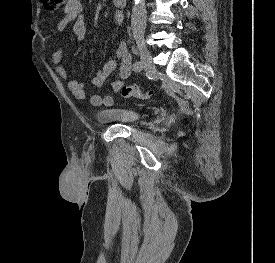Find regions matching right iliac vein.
<instances>
[{
	"label": "right iliac vein",
	"instance_id": "1",
	"mask_svg": "<svg viewBox=\"0 0 275 263\" xmlns=\"http://www.w3.org/2000/svg\"><path fill=\"white\" fill-rule=\"evenodd\" d=\"M137 48L139 50V55L143 66L146 70L150 69L152 66V56L149 50L147 49L144 41L142 39H138L137 41Z\"/></svg>",
	"mask_w": 275,
	"mask_h": 263
}]
</instances>
